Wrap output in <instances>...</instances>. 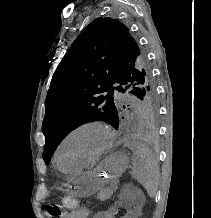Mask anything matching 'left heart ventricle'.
<instances>
[{
    "instance_id": "b2bd125f",
    "label": "left heart ventricle",
    "mask_w": 211,
    "mask_h": 218,
    "mask_svg": "<svg viewBox=\"0 0 211 218\" xmlns=\"http://www.w3.org/2000/svg\"><path fill=\"white\" fill-rule=\"evenodd\" d=\"M104 143L105 137L100 131L83 130L64 144L60 154V165L83 164L89 161Z\"/></svg>"
}]
</instances>
